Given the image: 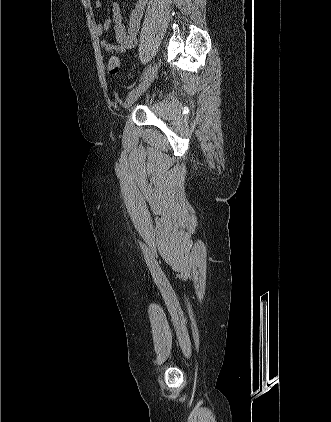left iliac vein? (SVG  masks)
<instances>
[{"instance_id": "4c4485c4", "label": "left iliac vein", "mask_w": 331, "mask_h": 422, "mask_svg": "<svg viewBox=\"0 0 331 422\" xmlns=\"http://www.w3.org/2000/svg\"><path fill=\"white\" fill-rule=\"evenodd\" d=\"M158 71V63H155L151 69L145 74L141 82L128 94L124 107L128 109L142 93H144L153 82Z\"/></svg>"}]
</instances>
